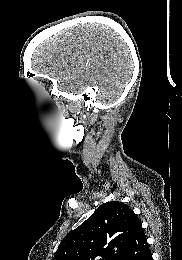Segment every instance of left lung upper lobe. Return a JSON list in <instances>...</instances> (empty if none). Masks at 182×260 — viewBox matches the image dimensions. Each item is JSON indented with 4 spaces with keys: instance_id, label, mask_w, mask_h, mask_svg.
Listing matches in <instances>:
<instances>
[{
    "instance_id": "obj_1",
    "label": "left lung upper lobe",
    "mask_w": 182,
    "mask_h": 260,
    "mask_svg": "<svg viewBox=\"0 0 182 260\" xmlns=\"http://www.w3.org/2000/svg\"><path fill=\"white\" fill-rule=\"evenodd\" d=\"M141 227L137 215L120 201L106 202L58 246L53 260H120Z\"/></svg>"
}]
</instances>
